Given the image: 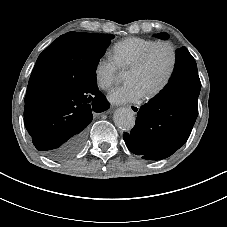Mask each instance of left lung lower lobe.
<instances>
[{
    "instance_id": "1",
    "label": "left lung lower lobe",
    "mask_w": 227,
    "mask_h": 227,
    "mask_svg": "<svg viewBox=\"0 0 227 227\" xmlns=\"http://www.w3.org/2000/svg\"><path fill=\"white\" fill-rule=\"evenodd\" d=\"M201 83L185 47L176 51L174 72L164 89L141 106L134 128L124 133L127 148L148 160L169 157L187 141L198 115Z\"/></svg>"
}]
</instances>
